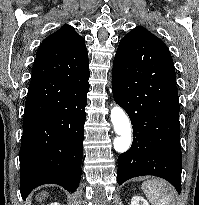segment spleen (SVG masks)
<instances>
[{
	"instance_id": "obj_1",
	"label": "spleen",
	"mask_w": 199,
	"mask_h": 205,
	"mask_svg": "<svg viewBox=\"0 0 199 205\" xmlns=\"http://www.w3.org/2000/svg\"><path fill=\"white\" fill-rule=\"evenodd\" d=\"M141 188L153 205L176 204L173 188L162 180H147L142 183Z\"/></svg>"
}]
</instances>
